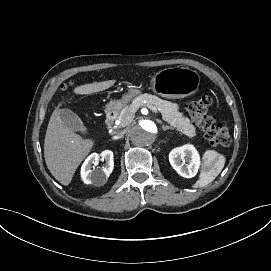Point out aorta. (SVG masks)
I'll return each instance as SVG.
<instances>
[{"label": "aorta", "mask_w": 271, "mask_h": 271, "mask_svg": "<svg viewBox=\"0 0 271 271\" xmlns=\"http://www.w3.org/2000/svg\"><path fill=\"white\" fill-rule=\"evenodd\" d=\"M158 134L157 124L149 119L140 120L130 130L129 137L136 147H150Z\"/></svg>", "instance_id": "obj_1"}]
</instances>
